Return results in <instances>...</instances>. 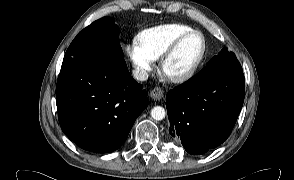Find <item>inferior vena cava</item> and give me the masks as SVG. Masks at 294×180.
I'll return each instance as SVG.
<instances>
[{"label": "inferior vena cava", "instance_id": "inferior-vena-cava-1", "mask_svg": "<svg viewBox=\"0 0 294 180\" xmlns=\"http://www.w3.org/2000/svg\"><path fill=\"white\" fill-rule=\"evenodd\" d=\"M133 77L138 81H146L148 79V73L142 68H135L133 70Z\"/></svg>", "mask_w": 294, "mask_h": 180}]
</instances>
